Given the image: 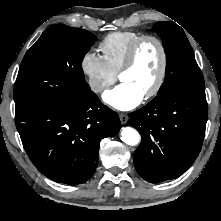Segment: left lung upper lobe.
<instances>
[{
  "instance_id": "left-lung-upper-lobe-1",
  "label": "left lung upper lobe",
  "mask_w": 221,
  "mask_h": 221,
  "mask_svg": "<svg viewBox=\"0 0 221 221\" xmlns=\"http://www.w3.org/2000/svg\"><path fill=\"white\" fill-rule=\"evenodd\" d=\"M152 31L162 38L167 55L165 80L157 95L169 90L204 95L203 75L184 31L175 23L166 21L157 22Z\"/></svg>"
}]
</instances>
